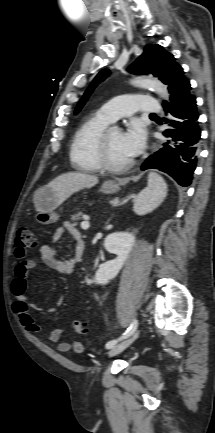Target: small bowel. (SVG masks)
Instances as JSON below:
<instances>
[{"label":"small bowel","mask_w":215,"mask_h":433,"mask_svg":"<svg viewBox=\"0 0 215 433\" xmlns=\"http://www.w3.org/2000/svg\"><path fill=\"white\" fill-rule=\"evenodd\" d=\"M69 235L75 242L74 255L68 259H59L58 251L54 246L42 245L39 248V254L43 262L62 275L70 274L74 266L80 261L84 252V242L80 231L72 224L65 223L58 228L54 234V243H58L64 235ZM36 263L32 259H25L18 262L14 268V278L10 284L11 294L15 298L13 309L18 316L21 324L32 333H42V327L35 321L31 310H36L37 307L28 302L25 298L27 289L28 276L30 271L35 267ZM63 331L55 329L48 333V340L57 344L59 352H68L73 349L75 352L83 351V344L79 341L68 342L61 341Z\"/></svg>","instance_id":"c3829d8e"}]
</instances>
